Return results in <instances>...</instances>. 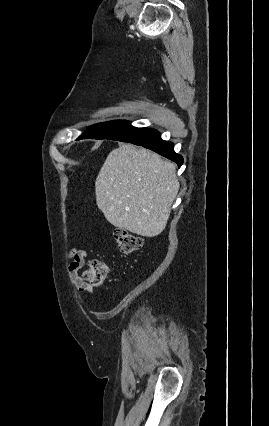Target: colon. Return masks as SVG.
I'll return each instance as SVG.
<instances>
[{
	"mask_svg": "<svg viewBox=\"0 0 269 426\" xmlns=\"http://www.w3.org/2000/svg\"><path fill=\"white\" fill-rule=\"evenodd\" d=\"M114 238L119 249L125 254H132L143 247L142 239L136 234L118 228L114 231ZM110 272V266L99 260L93 259L83 273V279L94 287L102 286Z\"/></svg>",
	"mask_w": 269,
	"mask_h": 426,
	"instance_id": "colon-1",
	"label": "colon"
}]
</instances>
